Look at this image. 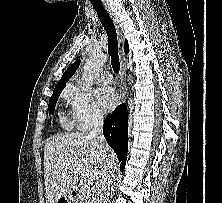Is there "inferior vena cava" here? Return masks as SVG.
Masks as SVG:
<instances>
[{"instance_id":"602c4592","label":"inferior vena cava","mask_w":222,"mask_h":203,"mask_svg":"<svg viewBox=\"0 0 222 203\" xmlns=\"http://www.w3.org/2000/svg\"><path fill=\"white\" fill-rule=\"evenodd\" d=\"M103 123V114L96 112L93 115V128L90 131L88 137L95 138L100 142H105V139L102 135ZM113 177L114 165L110 160L106 159L105 168L99 175L94 187L93 203H107L108 189Z\"/></svg>"}]
</instances>
